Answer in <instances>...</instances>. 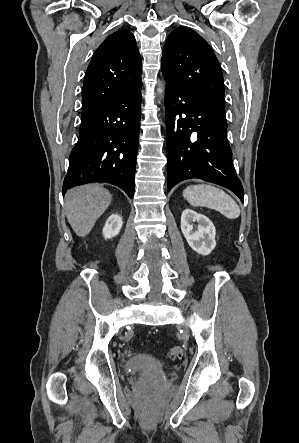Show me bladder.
Here are the masks:
<instances>
[{
	"mask_svg": "<svg viewBox=\"0 0 299 443\" xmlns=\"http://www.w3.org/2000/svg\"><path fill=\"white\" fill-rule=\"evenodd\" d=\"M124 368L129 373L139 374L152 381L165 379V373L162 371L159 363L150 355H133L126 361Z\"/></svg>",
	"mask_w": 299,
	"mask_h": 443,
	"instance_id": "obj_1",
	"label": "bladder"
}]
</instances>
